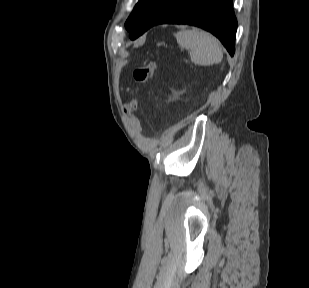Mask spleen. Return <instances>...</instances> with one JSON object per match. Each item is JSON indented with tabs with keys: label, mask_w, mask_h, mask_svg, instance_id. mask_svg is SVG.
<instances>
[{
	"label": "spleen",
	"mask_w": 309,
	"mask_h": 288,
	"mask_svg": "<svg viewBox=\"0 0 309 288\" xmlns=\"http://www.w3.org/2000/svg\"><path fill=\"white\" fill-rule=\"evenodd\" d=\"M177 43L189 50L191 61L200 66L218 64L223 58L222 47L218 39L197 28L182 30L175 34Z\"/></svg>",
	"instance_id": "3e777b00"
}]
</instances>
